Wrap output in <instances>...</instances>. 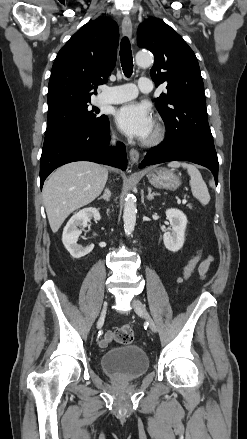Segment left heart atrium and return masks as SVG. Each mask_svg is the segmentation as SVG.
Returning a JSON list of instances; mask_svg holds the SVG:
<instances>
[{"mask_svg":"<svg viewBox=\"0 0 247 439\" xmlns=\"http://www.w3.org/2000/svg\"><path fill=\"white\" fill-rule=\"evenodd\" d=\"M115 120L121 131L129 137L147 139L154 127L150 108L144 103H128L115 113Z\"/></svg>","mask_w":247,"mask_h":439,"instance_id":"obj_1","label":"left heart atrium"}]
</instances>
